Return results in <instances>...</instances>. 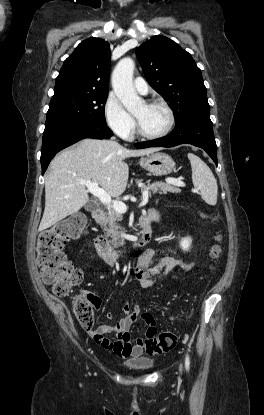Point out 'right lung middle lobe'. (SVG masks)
<instances>
[{
  "mask_svg": "<svg viewBox=\"0 0 264 415\" xmlns=\"http://www.w3.org/2000/svg\"><path fill=\"white\" fill-rule=\"evenodd\" d=\"M107 96V92H67L54 95L50 101L44 131L75 123L105 124Z\"/></svg>",
  "mask_w": 264,
  "mask_h": 415,
  "instance_id": "right-lung-middle-lobe-1",
  "label": "right lung middle lobe"
}]
</instances>
